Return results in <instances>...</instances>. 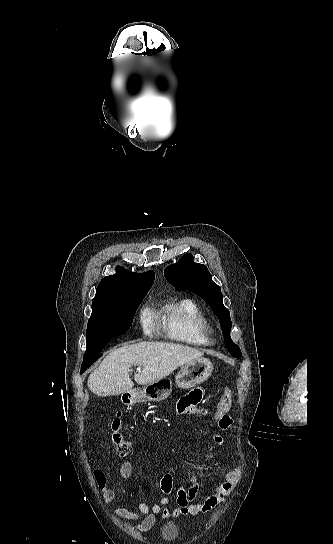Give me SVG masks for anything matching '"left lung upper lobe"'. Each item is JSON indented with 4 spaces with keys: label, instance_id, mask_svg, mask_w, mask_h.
I'll use <instances>...</instances> for the list:
<instances>
[{
    "label": "left lung upper lobe",
    "instance_id": "obj_1",
    "mask_svg": "<svg viewBox=\"0 0 333 544\" xmlns=\"http://www.w3.org/2000/svg\"><path fill=\"white\" fill-rule=\"evenodd\" d=\"M164 275L176 289H189L202 297L213 308L220 318L228 351L232 356L240 357V348L233 343L230 337L231 319L229 310L224 307L221 289L212 281L207 267L194 263L193 256L185 254L177 264L168 266L164 271Z\"/></svg>",
    "mask_w": 333,
    "mask_h": 544
}]
</instances>
